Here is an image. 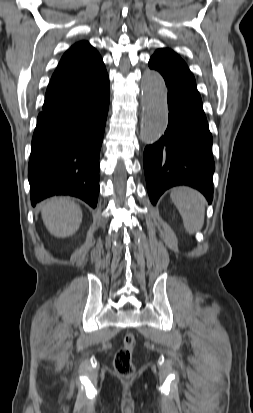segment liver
Listing matches in <instances>:
<instances>
[{
    "instance_id": "obj_1",
    "label": "liver",
    "mask_w": 253,
    "mask_h": 413,
    "mask_svg": "<svg viewBox=\"0 0 253 413\" xmlns=\"http://www.w3.org/2000/svg\"><path fill=\"white\" fill-rule=\"evenodd\" d=\"M41 215L47 230L59 238L73 235L82 222L81 208L65 197L44 202L41 205Z\"/></svg>"
}]
</instances>
